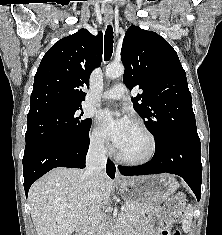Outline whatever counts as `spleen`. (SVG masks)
I'll return each mask as SVG.
<instances>
[{"mask_svg":"<svg viewBox=\"0 0 222 235\" xmlns=\"http://www.w3.org/2000/svg\"><path fill=\"white\" fill-rule=\"evenodd\" d=\"M193 218V208L191 205H188L184 211V217L182 220V228L185 232H188L192 223Z\"/></svg>","mask_w":222,"mask_h":235,"instance_id":"1","label":"spleen"}]
</instances>
